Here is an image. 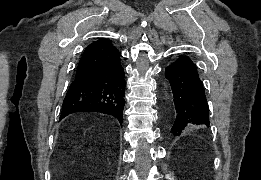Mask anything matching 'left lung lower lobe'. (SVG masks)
Masks as SVG:
<instances>
[{
    "mask_svg": "<svg viewBox=\"0 0 261 180\" xmlns=\"http://www.w3.org/2000/svg\"><path fill=\"white\" fill-rule=\"evenodd\" d=\"M173 93L175 119L173 136L195 127H209V108L196 65L180 56L165 69Z\"/></svg>",
    "mask_w": 261,
    "mask_h": 180,
    "instance_id": "0a47b994",
    "label": "left lung lower lobe"
}]
</instances>
